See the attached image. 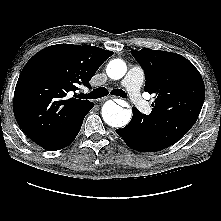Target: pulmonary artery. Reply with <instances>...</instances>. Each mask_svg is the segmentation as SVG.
<instances>
[{"label":"pulmonary artery","mask_w":221,"mask_h":221,"mask_svg":"<svg viewBox=\"0 0 221 221\" xmlns=\"http://www.w3.org/2000/svg\"><path fill=\"white\" fill-rule=\"evenodd\" d=\"M144 82V72L139 66H133L129 69L127 75L122 81L128 92L131 101L143 113L149 114L151 112V105L148 101L143 99L140 94V88Z\"/></svg>","instance_id":"1"}]
</instances>
